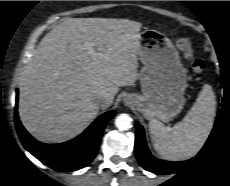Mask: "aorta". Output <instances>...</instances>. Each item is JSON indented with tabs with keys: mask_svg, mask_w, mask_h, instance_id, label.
<instances>
[{
	"mask_svg": "<svg viewBox=\"0 0 230 186\" xmlns=\"http://www.w3.org/2000/svg\"><path fill=\"white\" fill-rule=\"evenodd\" d=\"M116 127L121 130H128L132 127V118L128 114H120L115 119Z\"/></svg>",
	"mask_w": 230,
	"mask_h": 186,
	"instance_id": "762f6f07",
	"label": "aorta"
}]
</instances>
